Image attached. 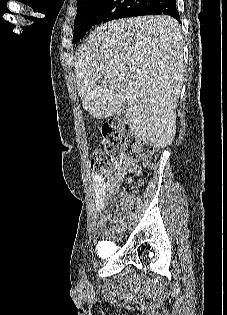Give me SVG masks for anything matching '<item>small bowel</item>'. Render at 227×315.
Segmentation results:
<instances>
[{
  "instance_id": "small-bowel-1",
  "label": "small bowel",
  "mask_w": 227,
  "mask_h": 315,
  "mask_svg": "<svg viewBox=\"0 0 227 315\" xmlns=\"http://www.w3.org/2000/svg\"><path fill=\"white\" fill-rule=\"evenodd\" d=\"M112 166L113 174L111 178L97 175L91 177L94 192V208L97 212V228L99 231H103L106 222L112 218V214L107 210V200L119 193L125 175L139 174L141 172V167L124 153L118 154L113 159ZM120 198V205L116 208L117 213L120 212L121 206L128 199V194L123 191L120 193Z\"/></svg>"
}]
</instances>
